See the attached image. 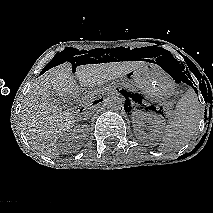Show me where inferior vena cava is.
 Listing matches in <instances>:
<instances>
[{
    "label": "inferior vena cava",
    "instance_id": "inferior-vena-cava-1",
    "mask_svg": "<svg viewBox=\"0 0 213 213\" xmlns=\"http://www.w3.org/2000/svg\"><path fill=\"white\" fill-rule=\"evenodd\" d=\"M95 113V109L92 108V107H86L84 112H83V115L84 117H90L91 115H93Z\"/></svg>",
    "mask_w": 213,
    "mask_h": 213
}]
</instances>
